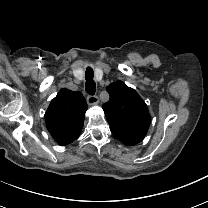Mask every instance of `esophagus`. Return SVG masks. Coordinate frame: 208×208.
Listing matches in <instances>:
<instances>
[{"label": "esophagus", "mask_w": 208, "mask_h": 208, "mask_svg": "<svg viewBox=\"0 0 208 208\" xmlns=\"http://www.w3.org/2000/svg\"><path fill=\"white\" fill-rule=\"evenodd\" d=\"M99 102V98L97 96H88L87 97V103L91 106V105H96Z\"/></svg>", "instance_id": "esophagus-1"}]
</instances>
